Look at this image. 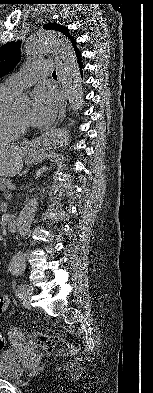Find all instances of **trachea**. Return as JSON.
<instances>
[{
    "instance_id": "3493384b",
    "label": "trachea",
    "mask_w": 153,
    "mask_h": 393,
    "mask_svg": "<svg viewBox=\"0 0 153 393\" xmlns=\"http://www.w3.org/2000/svg\"><path fill=\"white\" fill-rule=\"evenodd\" d=\"M53 76H56V71H53V74H52Z\"/></svg>"
}]
</instances>
